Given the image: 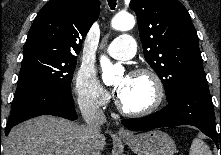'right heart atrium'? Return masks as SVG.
Returning <instances> with one entry per match:
<instances>
[{"label":"right heart atrium","instance_id":"right-heart-atrium-1","mask_svg":"<svg viewBox=\"0 0 221 155\" xmlns=\"http://www.w3.org/2000/svg\"><path fill=\"white\" fill-rule=\"evenodd\" d=\"M73 89L77 101L86 106L103 107L110 95L98 80L95 72L87 67H81L73 80Z\"/></svg>","mask_w":221,"mask_h":155}]
</instances>
